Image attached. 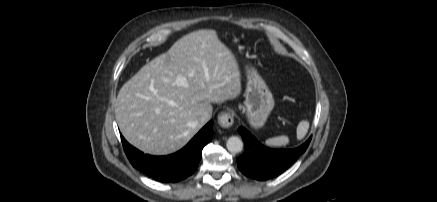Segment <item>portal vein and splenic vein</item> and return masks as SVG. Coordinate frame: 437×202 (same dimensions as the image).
<instances>
[{"label": "portal vein and splenic vein", "instance_id": "18ae733b", "mask_svg": "<svg viewBox=\"0 0 437 202\" xmlns=\"http://www.w3.org/2000/svg\"><path fill=\"white\" fill-rule=\"evenodd\" d=\"M175 83L178 86H186L187 85V80L183 76H177Z\"/></svg>", "mask_w": 437, "mask_h": 202}]
</instances>
